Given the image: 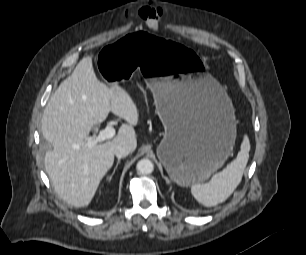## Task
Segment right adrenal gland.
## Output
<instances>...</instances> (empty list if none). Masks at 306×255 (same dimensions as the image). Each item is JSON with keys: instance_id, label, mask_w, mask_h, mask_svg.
I'll list each match as a JSON object with an SVG mask.
<instances>
[{"instance_id": "1", "label": "right adrenal gland", "mask_w": 306, "mask_h": 255, "mask_svg": "<svg viewBox=\"0 0 306 255\" xmlns=\"http://www.w3.org/2000/svg\"><path fill=\"white\" fill-rule=\"evenodd\" d=\"M119 164H120V160L117 161V163H116V165H115V167H114L113 173H112L111 176H110V180L112 179L113 175L115 174V171H116V169H117V167H118Z\"/></svg>"}]
</instances>
